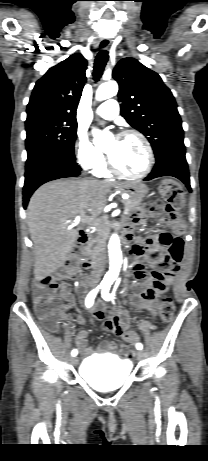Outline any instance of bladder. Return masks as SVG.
Returning a JSON list of instances; mask_svg holds the SVG:
<instances>
[{
	"label": "bladder",
	"mask_w": 208,
	"mask_h": 461,
	"mask_svg": "<svg viewBox=\"0 0 208 461\" xmlns=\"http://www.w3.org/2000/svg\"><path fill=\"white\" fill-rule=\"evenodd\" d=\"M79 371L84 381L93 388L109 391L125 384L131 364L111 355H97L85 359Z\"/></svg>",
	"instance_id": "31cf9c89"
}]
</instances>
